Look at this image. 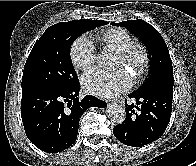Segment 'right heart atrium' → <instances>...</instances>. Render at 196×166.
<instances>
[{
  "label": "right heart atrium",
  "mask_w": 196,
  "mask_h": 166,
  "mask_svg": "<svg viewBox=\"0 0 196 166\" xmlns=\"http://www.w3.org/2000/svg\"><path fill=\"white\" fill-rule=\"evenodd\" d=\"M72 65L77 70H87L96 60V51L92 40L87 36L77 38L69 51Z\"/></svg>",
  "instance_id": "1"
}]
</instances>
